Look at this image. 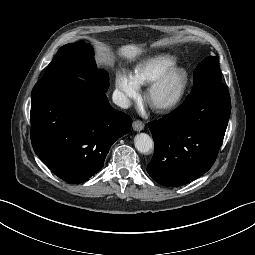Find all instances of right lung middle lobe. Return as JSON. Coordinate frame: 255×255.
Here are the masks:
<instances>
[{"mask_svg":"<svg viewBox=\"0 0 255 255\" xmlns=\"http://www.w3.org/2000/svg\"><path fill=\"white\" fill-rule=\"evenodd\" d=\"M43 76H82L104 92L109 87L108 74L97 69L92 47L83 41L61 47Z\"/></svg>","mask_w":255,"mask_h":255,"instance_id":"right-lung-middle-lobe-1","label":"right lung middle lobe"}]
</instances>
